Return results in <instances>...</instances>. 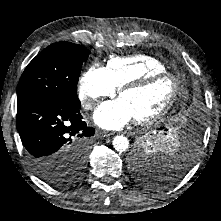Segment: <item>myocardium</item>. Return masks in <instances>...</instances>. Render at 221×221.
Instances as JSON below:
<instances>
[{"instance_id": "1", "label": "myocardium", "mask_w": 221, "mask_h": 221, "mask_svg": "<svg viewBox=\"0 0 221 221\" xmlns=\"http://www.w3.org/2000/svg\"><path fill=\"white\" fill-rule=\"evenodd\" d=\"M162 78H170L174 83V91H173V94H172L170 100L157 113H155L151 116H148V117L134 119V122L136 124H138V125H151V124L158 122L162 118H164L170 112V110L174 107V105L176 104L179 94H180V91L182 89V82H181L180 78L177 77L175 74L168 72V71H163V72H156V73L148 74L138 80L128 82L120 87L119 96H121V94L126 91H135V90L143 89V88L147 87L148 85H150L151 83H153L159 79H162Z\"/></svg>"}]
</instances>
